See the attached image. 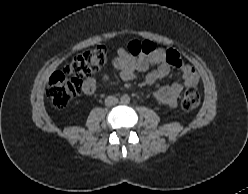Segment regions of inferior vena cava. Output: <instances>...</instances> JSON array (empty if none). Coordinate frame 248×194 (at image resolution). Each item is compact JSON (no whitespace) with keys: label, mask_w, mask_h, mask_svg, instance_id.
<instances>
[{"label":"inferior vena cava","mask_w":248,"mask_h":194,"mask_svg":"<svg viewBox=\"0 0 248 194\" xmlns=\"http://www.w3.org/2000/svg\"><path fill=\"white\" fill-rule=\"evenodd\" d=\"M118 103V98H116L115 96H108L105 99V105L106 106H114Z\"/></svg>","instance_id":"602c4592"}]
</instances>
